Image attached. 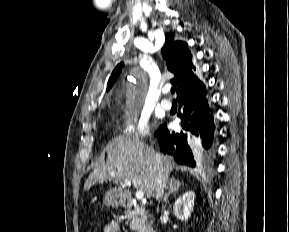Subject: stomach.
<instances>
[{"mask_svg":"<svg viewBox=\"0 0 289 232\" xmlns=\"http://www.w3.org/2000/svg\"><path fill=\"white\" fill-rule=\"evenodd\" d=\"M105 201L107 205L113 206L121 201V196L115 191H109L105 197Z\"/></svg>","mask_w":289,"mask_h":232,"instance_id":"0dacf381","label":"stomach"}]
</instances>
